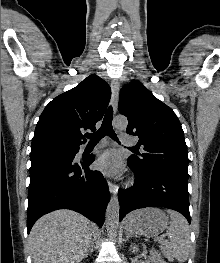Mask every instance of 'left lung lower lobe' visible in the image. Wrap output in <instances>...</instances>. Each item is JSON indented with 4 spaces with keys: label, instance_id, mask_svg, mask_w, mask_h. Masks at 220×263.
Returning a JSON list of instances; mask_svg holds the SVG:
<instances>
[{
    "label": "left lung lower lobe",
    "instance_id": "obj_1",
    "mask_svg": "<svg viewBox=\"0 0 220 263\" xmlns=\"http://www.w3.org/2000/svg\"><path fill=\"white\" fill-rule=\"evenodd\" d=\"M128 166L135 183L119 189V220L135 209L158 206L180 212L190 223L188 178L165 168L139 169L129 158Z\"/></svg>",
    "mask_w": 220,
    "mask_h": 263
}]
</instances>
